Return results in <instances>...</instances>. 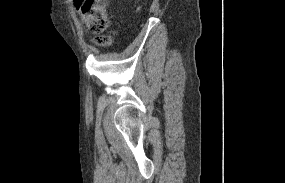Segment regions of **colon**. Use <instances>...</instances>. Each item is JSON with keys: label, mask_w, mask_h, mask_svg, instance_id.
Segmentation results:
<instances>
[{"label": "colon", "mask_w": 285, "mask_h": 183, "mask_svg": "<svg viewBox=\"0 0 285 183\" xmlns=\"http://www.w3.org/2000/svg\"><path fill=\"white\" fill-rule=\"evenodd\" d=\"M85 28L93 33L105 32L110 24L108 4L109 0H76ZM100 46L111 43L110 36L103 35L96 39Z\"/></svg>", "instance_id": "colon-1"}]
</instances>
